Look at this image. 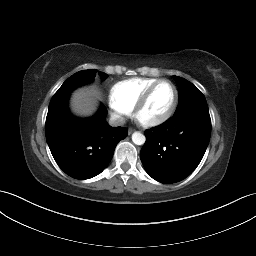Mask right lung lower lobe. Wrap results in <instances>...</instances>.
<instances>
[{
    "mask_svg": "<svg viewBox=\"0 0 256 256\" xmlns=\"http://www.w3.org/2000/svg\"><path fill=\"white\" fill-rule=\"evenodd\" d=\"M68 97L50 102L45 134L59 167L69 176L85 180L101 173L113 157L118 142L127 137L126 128H113L104 120L107 110L88 119L71 115Z\"/></svg>",
    "mask_w": 256,
    "mask_h": 256,
    "instance_id": "1",
    "label": "right lung lower lobe"
}]
</instances>
